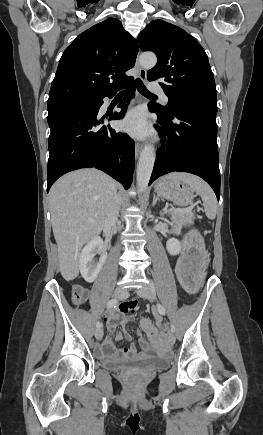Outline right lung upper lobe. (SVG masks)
I'll list each match as a JSON object with an SVG mask.
<instances>
[{"instance_id":"obj_1","label":"right lung upper lobe","mask_w":263,"mask_h":435,"mask_svg":"<svg viewBox=\"0 0 263 435\" xmlns=\"http://www.w3.org/2000/svg\"><path fill=\"white\" fill-rule=\"evenodd\" d=\"M137 41L118 19L108 18L80 34L64 51L52 82L48 106L95 100L115 93L133 77Z\"/></svg>"}]
</instances>
